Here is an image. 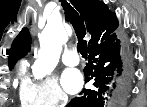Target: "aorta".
I'll return each instance as SVG.
<instances>
[{
	"label": "aorta",
	"instance_id": "762f6f07",
	"mask_svg": "<svg viewBox=\"0 0 147 107\" xmlns=\"http://www.w3.org/2000/svg\"><path fill=\"white\" fill-rule=\"evenodd\" d=\"M68 37L60 21L49 22L40 37V51L33 73L40 78L52 72L58 64L62 45Z\"/></svg>",
	"mask_w": 147,
	"mask_h": 107
}]
</instances>
